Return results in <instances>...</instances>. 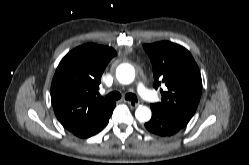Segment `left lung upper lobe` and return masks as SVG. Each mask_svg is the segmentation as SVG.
<instances>
[{
  "mask_svg": "<svg viewBox=\"0 0 249 165\" xmlns=\"http://www.w3.org/2000/svg\"><path fill=\"white\" fill-rule=\"evenodd\" d=\"M153 66L154 88H160L163 110L192 118L202 91L201 74L190 52L184 47L161 41L143 46ZM164 85V89L161 88Z\"/></svg>",
  "mask_w": 249,
  "mask_h": 165,
  "instance_id": "5c2ea615",
  "label": "left lung upper lobe"
}]
</instances>
